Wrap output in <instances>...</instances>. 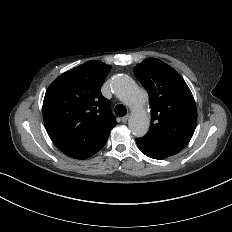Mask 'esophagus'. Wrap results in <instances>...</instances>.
Returning <instances> with one entry per match:
<instances>
[{
  "label": "esophagus",
  "mask_w": 232,
  "mask_h": 232,
  "mask_svg": "<svg viewBox=\"0 0 232 232\" xmlns=\"http://www.w3.org/2000/svg\"><path fill=\"white\" fill-rule=\"evenodd\" d=\"M128 118H129V115H125L124 117L121 118V121H122L123 123H126L127 120H128Z\"/></svg>",
  "instance_id": "esophagus-1"
}]
</instances>
